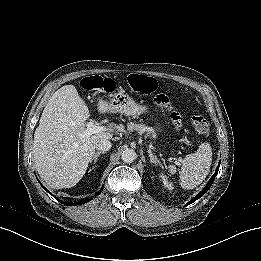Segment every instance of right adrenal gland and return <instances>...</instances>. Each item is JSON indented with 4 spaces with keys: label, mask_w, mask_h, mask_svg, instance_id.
<instances>
[{
    "label": "right adrenal gland",
    "mask_w": 261,
    "mask_h": 261,
    "mask_svg": "<svg viewBox=\"0 0 261 261\" xmlns=\"http://www.w3.org/2000/svg\"><path fill=\"white\" fill-rule=\"evenodd\" d=\"M101 154H104V152H103V151L96 152L95 155H94V157H93V161L96 162L97 159H98V157H99Z\"/></svg>",
    "instance_id": "2a0ac1e0"
}]
</instances>
